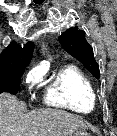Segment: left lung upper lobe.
Returning a JSON list of instances; mask_svg holds the SVG:
<instances>
[{
    "label": "left lung upper lobe",
    "mask_w": 117,
    "mask_h": 136,
    "mask_svg": "<svg viewBox=\"0 0 117 136\" xmlns=\"http://www.w3.org/2000/svg\"><path fill=\"white\" fill-rule=\"evenodd\" d=\"M59 42L63 48L73 57L78 59L95 78H99V66L94 59L93 49L85 39V32L74 29H68L60 37Z\"/></svg>",
    "instance_id": "5c2ea615"
}]
</instances>
